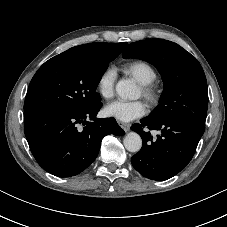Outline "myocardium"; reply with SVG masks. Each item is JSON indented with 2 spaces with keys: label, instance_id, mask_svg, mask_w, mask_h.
<instances>
[{
  "label": "myocardium",
  "instance_id": "f54148a6",
  "mask_svg": "<svg viewBox=\"0 0 227 227\" xmlns=\"http://www.w3.org/2000/svg\"><path fill=\"white\" fill-rule=\"evenodd\" d=\"M141 94L143 98L151 105L156 106L161 99V91L154 84L141 85Z\"/></svg>",
  "mask_w": 227,
  "mask_h": 227
}]
</instances>
